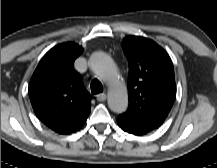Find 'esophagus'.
<instances>
[{"mask_svg":"<svg viewBox=\"0 0 217 168\" xmlns=\"http://www.w3.org/2000/svg\"><path fill=\"white\" fill-rule=\"evenodd\" d=\"M106 98H107V96H106L105 93H100V94H97V95H96V99H97V101H99V102L105 101Z\"/></svg>","mask_w":217,"mask_h":168,"instance_id":"esophagus-1","label":"esophagus"}]
</instances>
